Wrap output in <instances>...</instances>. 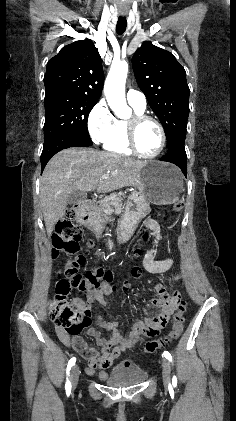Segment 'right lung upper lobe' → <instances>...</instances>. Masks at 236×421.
Instances as JSON below:
<instances>
[{"label": "right lung upper lobe", "mask_w": 236, "mask_h": 421, "mask_svg": "<svg viewBox=\"0 0 236 421\" xmlns=\"http://www.w3.org/2000/svg\"><path fill=\"white\" fill-rule=\"evenodd\" d=\"M103 82L101 57L89 39L63 47L49 60L44 77L45 92L63 91L97 100Z\"/></svg>", "instance_id": "cb5924a9"}]
</instances>
